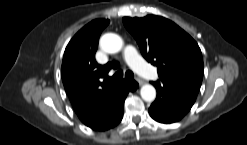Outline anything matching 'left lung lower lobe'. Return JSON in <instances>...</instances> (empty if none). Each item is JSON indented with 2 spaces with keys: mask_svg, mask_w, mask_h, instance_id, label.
Instances as JSON below:
<instances>
[{
  "mask_svg": "<svg viewBox=\"0 0 247 145\" xmlns=\"http://www.w3.org/2000/svg\"><path fill=\"white\" fill-rule=\"evenodd\" d=\"M157 90L156 100L149 108L150 116L160 123H173L183 118L193 106L197 94L172 82H152Z\"/></svg>",
  "mask_w": 247,
  "mask_h": 145,
  "instance_id": "obj_1",
  "label": "left lung lower lobe"
}]
</instances>
